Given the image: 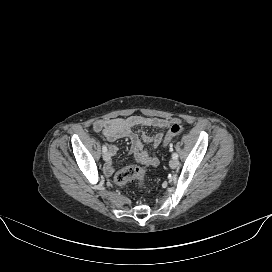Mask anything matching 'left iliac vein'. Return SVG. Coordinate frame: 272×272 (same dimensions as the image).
Returning <instances> with one entry per match:
<instances>
[{
	"mask_svg": "<svg viewBox=\"0 0 272 272\" xmlns=\"http://www.w3.org/2000/svg\"><path fill=\"white\" fill-rule=\"evenodd\" d=\"M169 165H170L171 168H176V167H178L179 162H178L177 159H171L170 162H169Z\"/></svg>",
	"mask_w": 272,
	"mask_h": 272,
	"instance_id": "1",
	"label": "left iliac vein"
}]
</instances>
